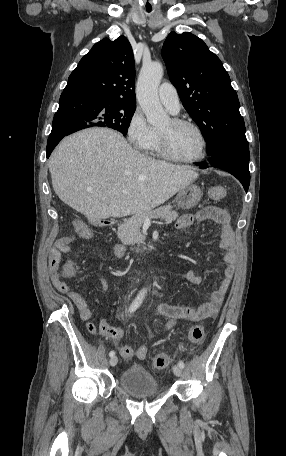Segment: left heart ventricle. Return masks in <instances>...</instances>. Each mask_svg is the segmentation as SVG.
Wrapping results in <instances>:
<instances>
[{"label": "left heart ventricle", "instance_id": "b2bd125f", "mask_svg": "<svg viewBox=\"0 0 286 456\" xmlns=\"http://www.w3.org/2000/svg\"><path fill=\"white\" fill-rule=\"evenodd\" d=\"M158 131L167 138L171 152L177 157L189 159L200 155L202 142L194 129L168 120Z\"/></svg>", "mask_w": 286, "mask_h": 456}]
</instances>
